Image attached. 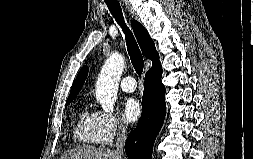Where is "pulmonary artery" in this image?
I'll use <instances>...</instances> for the list:
<instances>
[{"label": "pulmonary artery", "mask_w": 253, "mask_h": 159, "mask_svg": "<svg viewBox=\"0 0 253 159\" xmlns=\"http://www.w3.org/2000/svg\"><path fill=\"white\" fill-rule=\"evenodd\" d=\"M136 83L133 77L131 76H125L122 78L120 82V88L122 91L131 93L134 92L136 89Z\"/></svg>", "instance_id": "e3ab8cb5"}]
</instances>
